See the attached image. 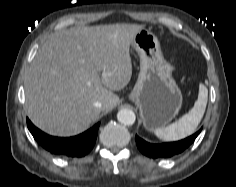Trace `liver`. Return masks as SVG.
Masks as SVG:
<instances>
[{
  "instance_id": "obj_1",
  "label": "liver",
  "mask_w": 236,
  "mask_h": 187,
  "mask_svg": "<svg viewBox=\"0 0 236 187\" xmlns=\"http://www.w3.org/2000/svg\"><path fill=\"white\" fill-rule=\"evenodd\" d=\"M144 25L78 26L50 36L39 48L25 77L30 120L54 136H73L86 129L101 112L119 102L113 91L132 76L129 53ZM100 101L102 107L94 103Z\"/></svg>"
}]
</instances>
